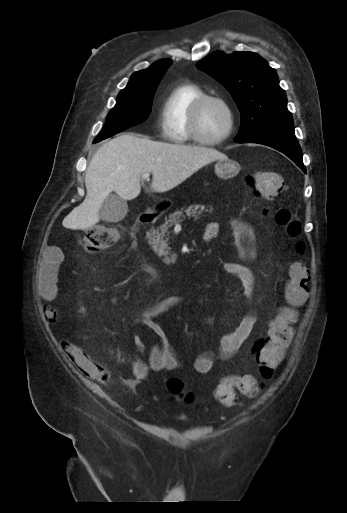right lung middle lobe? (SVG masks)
Listing matches in <instances>:
<instances>
[{
    "mask_svg": "<svg viewBox=\"0 0 347 513\" xmlns=\"http://www.w3.org/2000/svg\"><path fill=\"white\" fill-rule=\"evenodd\" d=\"M158 84L159 81L134 90H122L118 94L115 107L107 116L104 128L95 138L94 143L146 120L150 114L152 99Z\"/></svg>",
    "mask_w": 347,
    "mask_h": 513,
    "instance_id": "right-lung-middle-lobe-1",
    "label": "right lung middle lobe"
}]
</instances>
